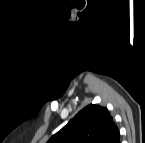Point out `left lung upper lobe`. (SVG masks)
<instances>
[{
    "label": "left lung upper lobe",
    "mask_w": 145,
    "mask_h": 143,
    "mask_svg": "<svg viewBox=\"0 0 145 143\" xmlns=\"http://www.w3.org/2000/svg\"><path fill=\"white\" fill-rule=\"evenodd\" d=\"M120 133L107 108L88 105L48 143H119Z\"/></svg>",
    "instance_id": "obj_1"
}]
</instances>
